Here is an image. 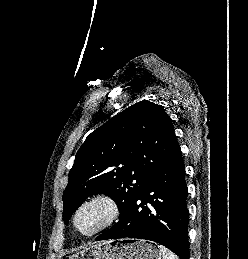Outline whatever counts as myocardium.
Masks as SVG:
<instances>
[{
    "label": "myocardium",
    "instance_id": "myocardium-1",
    "mask_svg": "<svg viewBox=\"0 0 248 259\" xmlns=\"http://www.w3.org/2000/svg\"><path fill=\"white\" fill-rule=\"evenodd\" d=\"M95 203H102L105 204L109 209V215L105 222L101 224L98 228L91 232H82L77 224V219L80 214V212L87 206L95 204ZM120 215V206L118 202L110 195L99 193L95 194L85 200H83L78 207L76 208L74 214H73V226L75 231L84 237H93L100 232L104 231L105 229L109 228L119 217Z\"/></svg>",
    "mask_w": 248,
    "mask_h": 259
}]
</instances>
